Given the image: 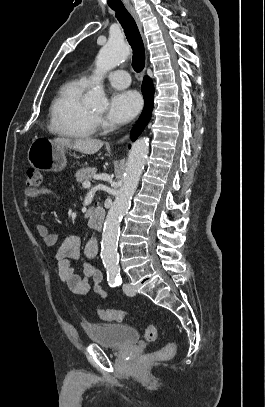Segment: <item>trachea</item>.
I'll return each instance as SVG.
<instances>
[{"instance_id": "obj_1", "label": "trachea", "mask_w": 265, "mask_h": 407, "mask_svg": "<svg viewBox=\"0 0 265 407\" xmlns=\"http://www.w3.org/2000/svg\"><path fill=\"white\" fill-rule=\"evenodd\" d=\"M112 9L115 11L116 18L123 27L126 38L133 50V68L136 72H140L145 66V49L136 22L124 6L112 7Z\"/></svg>"}]
</instances>
